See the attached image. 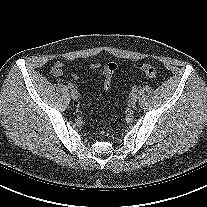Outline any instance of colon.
Listing matches in <instances>:
<instances>
[{"label":"colon","mask_w":207,"mask_h":207,"mask_svg":"<svg viewBox=\"0 0 207 207\" xmlns=\"http://www.w3.org/2000/svg\"><path fill=\"white\" fill-rule=\"evenodd\" d=\"M137 69L149 78H155L158 75L157 68L149 63H140L137 65Z\"/></svg>","instance_id":"5ec220e1"}]
</instances>
